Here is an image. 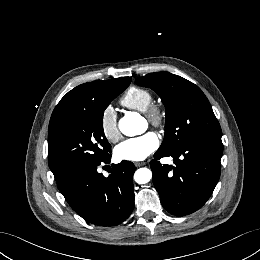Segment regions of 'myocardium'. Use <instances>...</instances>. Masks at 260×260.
<instances>
[{
    "mask_svg": "<svg viewBox=\"0 0 260 260\" xmlns=\"http://www.w3.org/2000/svg\"><path fill=\"white\" fill-rule=\"evenodd\" d=\"M145 117L148 122L156 127L163 128L165 124V109L163 105L159 103L152 102L146 111H144Z\"/></svg>",
    "mask_w": 260,
    "mask_h": 260,
    "instance_id": "f54148a6",
    "label": "myocardium"
}]
</instances>
